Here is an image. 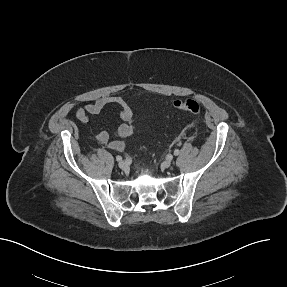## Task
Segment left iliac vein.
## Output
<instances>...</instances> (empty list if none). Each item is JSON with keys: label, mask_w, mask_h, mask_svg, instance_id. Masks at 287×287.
<instances>
[{"label": "left iliac vein", "mask_w": 287, "mask_h": 287, "mask_svg": "<svg viewBox=\"0 0 287 287\" xmlns=\"http://www.w3.org/2000/svg\"><path fill=\"white\" fill-rule=\"evenodd\" d=\"M171 164H172V160H171V159H167V160H165V161L162 163V167H163L164 169H167V168H169V167L171 166Z\"/></svg>", "instance_id": "4c4485c4"}]
</instances>
